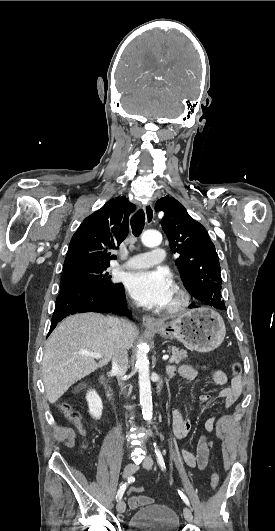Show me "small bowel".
<instances>
[{"label":"small bowel","instance_id":"obj_1","mask_svg":"<svg viewBox=\"0 0 275 531\" xmlns=\"http://www.w3.org/2000/svg\"><path fill=\"white\" fill-rule=\"evenodd\" d=\"M176 373L189 381H194L199 377V372L187 365H181L179 367L170 365L167 367V374L173 376ZM212 380L216 385L223 386L227 383L226 375L220 371L215 370L212 373ZM242 392V379L241 376H234L230 380V384L224 387L220 391V396L224 399V408H231L238 400ZM201 402H209L212 399V395L208 392L202 393L199 396ZM216 423V417H210L205 422V430L208 432L213 431ZM191 421L185 418L179 409L173 411L172 418V430L177 438H186L191 431ZM210 455V449L207 437L202 435L199 438L196 452H192L186 449L179 451V456L184 463L189 467H195L199 470H204L208 464ZM129 495H133L132 488L128 490ZM152 500L145 496H131L128 500V507L130 510H137L141 507L150 505Z\"/></svg>","mask_w":275,"mask_h":531}]
</instances>
